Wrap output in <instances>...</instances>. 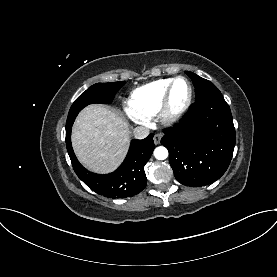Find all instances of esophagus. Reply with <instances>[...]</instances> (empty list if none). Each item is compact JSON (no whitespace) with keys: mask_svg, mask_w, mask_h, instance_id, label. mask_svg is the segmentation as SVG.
<instances>
[{"mask_svg":"<svg viewBox=\"0 0 277 277\" xmlns=\"http://www.w3.org/2000/svg\"><path fill=\"white\" fill-rule=\"evenodd\" d=\"M161 137H162L161 134H155L154 135V143H155V145H158L160 143Z\"/></svg>","mask_w":277,"mask_h":277,"instance_id":"1","label":"esophagus"}]
</instances>
